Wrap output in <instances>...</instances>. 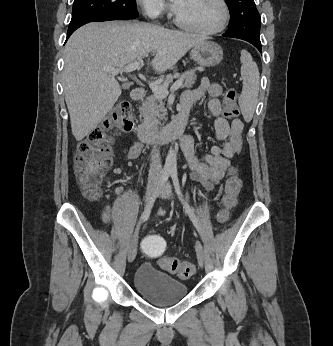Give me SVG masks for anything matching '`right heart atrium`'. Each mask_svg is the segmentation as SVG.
<instances>
[{"label":"right heart atrium","mask_w":333,"mask_h":346,"mask_svg":"<svg viewBox=\"0 0 333 346\" xmlns=\"http://www.w3.org/2000/svg\"><path fill=\"white\" fill-rule=\"evenodd\" d=\"M146 16L151 19H160L168 11L164 0H137Z\"/></svg>","instance_id":"1"}]
</instances>
